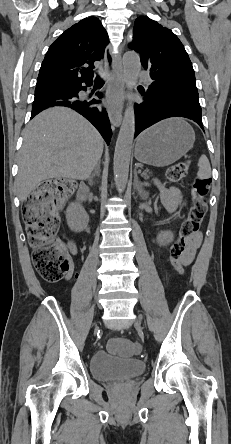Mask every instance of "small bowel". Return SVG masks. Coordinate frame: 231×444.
Segmentation results:
<instances>
[{"label": "small bowel", "instance_id": "c3829d8e", "mask_svg": "<svg viewBox=\"0 0 231 444\" xmlns=\"http://www.w3.org/2000/svg\"><path fill=\"white\" fill-rule=\"evenodd\" d=\"M160 197L162 204L170 212L177 210L181 206V193L177 188L160 187ZM200 243H201L200 233H196L189 240L188 247L182 257L185 265H189L193 261L196 251L200 246ZM69 248L72 251H75V246L73 245V243L69 244ZM70 277H71V272L67 274L66 278L69 279Z\"/></svg>", "mask_w": 231, "mask_h": 444}]
</instances>
